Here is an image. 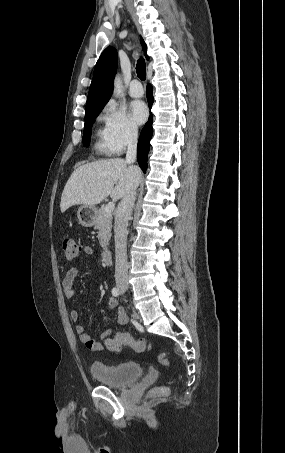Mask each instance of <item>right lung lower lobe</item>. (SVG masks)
I'll return each mask as SVG.
<instances>
[{
    "label": "right lung lower lobe",
    "instance_id": "right-lung-lower-lobe-1",
    "mask_svg": "<svg viewBox=\"0 0 285 453\" xmlns=\"http://www.w3.org/2000/svg\"><path fill=\"white\" fill-rule=\"evenodd\" d=\"M152 92H153L152 86L150 84H148L147 100L149 103V108H151V106L153 104ZM152 121H153V117L151 115L149 118V121L145 124V126L140 134L139 141H138V149H137L138 163L144 173L146 172V169H147V155H148V152L150 149V140H151V137L153 134Z\"/></svg>",
    "mask_w": 285,
    "mask_h": 453
}]
</instances>
